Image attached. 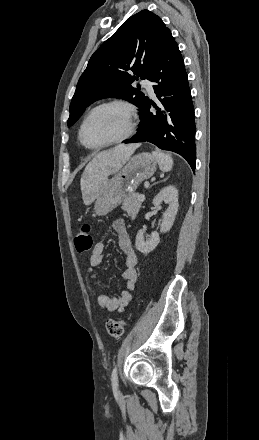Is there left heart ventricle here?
<instances>
[{"label": "left heart ventricle", "mask_w": 259, "mask_h": 440, "mask_svg": "<svg viewBox=\"0 0 259 440\" xmlns=\"http://www.w3.org/2000/svg\"><path fill=\"white\" fill-rule=\"evenodd\" d=\"M127 115L120 106H107L93 113L83 129V140L95 146L122 136L127 130Z\"/></svg>", "instance_id": "b2bd125f"}]
</instances>
